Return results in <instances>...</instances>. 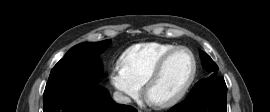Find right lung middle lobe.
I'll list each match as a JSON object with an SVG mask.
<instances>
[{
  "label": "right lung middle lobe",
  "instance_id": "dd1d6c3e",
  "mask_svg": "<svg viewBox=\"0 0 270 112\" xmlns=\"http://www.w3.org/2000/svg\"><path fill=\"white\" fill-rule=\"evenodd\" d=\"M110 40L85 42L72 47L52 69L47 84L69 82L94 85L101 76L98 56L104 52Z\"/></svg>",
  "mask_w": 270,
  "mask_h": 112
}]
</instances>
